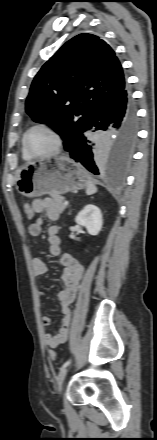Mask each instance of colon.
Listing matches in <instances>:
<instances>
[{
	"instance_id": "5ec220e1",
	"label": "colon",
	"mask_w": 157,
	"mask_h": 440,
	"mask_svg": "<svg viewBox=\"0 0 157 440\" xmlns=\"http://www.w3.org/2000/svg\"><path fill=\"white\" fill-rule=\"evenodd\" d=\"M23 211H24L25 216H26L28 219H32V218L34 217V211H33V208H32V206H31L30 204L25 203V204L23 205ZM56 356H57V355H56V352H55L54 350H49V351H48V359H49L51 362L55 361Z\"/></svg>"
}]
</instances>
